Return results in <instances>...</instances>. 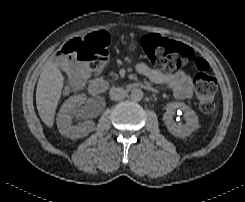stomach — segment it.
<instances>
[{
    "instance_id": "obj_1",
    "label": "stomach",
    "mask_w": 245,
    "mask_h": 202,
    "mask_svg": "<svg viewBox=\"0 0 245 202\" xmlns=\"http://www.w3.org/2000/svg\"><path fill=\"white\" fill-rule=\"evenodd\" d=\"M135 47H136V46H135L134 44H130V46H129L130 50H134Z\"/></svg>"
}]
</instances>
